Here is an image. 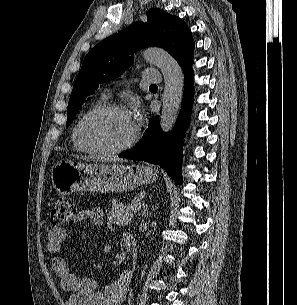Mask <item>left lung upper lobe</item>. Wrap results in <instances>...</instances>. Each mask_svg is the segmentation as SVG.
I'll list each match as a JSON object with an SVG mask.
<instances>
[{
    "label": "left lung upper lobe",
    "mask_w": 297,
    "mask_h": 305,
    "mask_svg": "<svg viewBox=\"0 0 297 305\" xmlns=\"http://www.w3.org/2000/svg\"><path fill=\"white\" fill-rule=\"evenodd\" d=\"M147 16L146 23L135 22L88 52L70 96L66 126L101 83L118 77L132 65L134 53L141 48L162 47L180 66L191 63L194 40L187 24L156 8L149 10Z\"/></svg>",
    "instance_id": "left-lung-upper-lobe-1"
}]
</instances>
